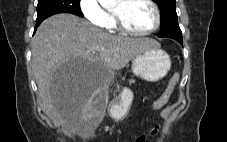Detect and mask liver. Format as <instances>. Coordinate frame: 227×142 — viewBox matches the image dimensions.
<instances>
[{"label": "liver", "mask_w": 227, "mask_h": 142, "mask_svg": "<svg viewBox=\"0 0 227 142\" xmlns=\"http://www.w3.org/2000/svg\"><path fill=\"white\" fill-rule=\"evenodd\" d=\"M152 46L160 45L151 38L108 34L72 14L47 18L31 42L32 71L47 113L70 132L85 133L95 127L89 112L102 81L95 74V78H88L85 88H54L55 81H50L54 68L60 61H91V66H86L89 73H95L97 62L108 69L120 70Z\"/></svg>", "instance_id": "1"}]
</instances>
